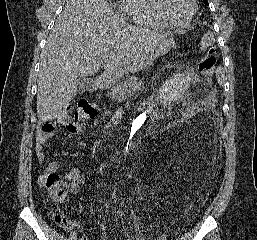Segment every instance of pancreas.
Listing matches in <instances>:
<instances>
[{
  "mask_svg": "<svg viewBox=\"0 0 257 240\" xmlns=\"http://www.w3.org/2000/svg\"><path fill=\"white\" fill-rule=\"evenodd\" d=\"M140 82L137 81L136 78H131L129 81L119 84L111 88V92H108V96H110L113 100L122 101L128 97H130L134 91L139 87Z\"/></svg>",
  "mask_w": 257,
  "mask_h": 240,
  "instance_id": "cf45deb5",
  "label": "pancreas"
}]
</instances>
